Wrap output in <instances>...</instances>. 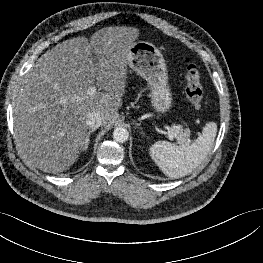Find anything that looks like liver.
<instances>
[{"instance_id": "obj_1", "label": "liver", "mask_w": 263, "mask_h": 263, "mask_svg": "<svg viewBox=\"0 0 263 263\" xmlns=\"http://www.w3.org/2000/svg\"><path fill=\"white\" fill-rule=\"evenodd\" d=\"M139 34L133 27H106L90 40H65L37 60L13 100L15 140L31 164L47 173L66 171L84 149L88 114L100 112L103 125H112ZM94 84L103 91L88 95Z\"/></svg>"}]
</instances>
